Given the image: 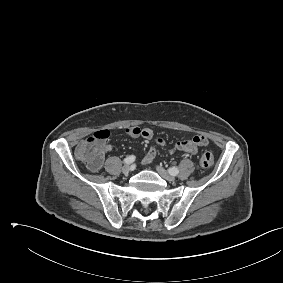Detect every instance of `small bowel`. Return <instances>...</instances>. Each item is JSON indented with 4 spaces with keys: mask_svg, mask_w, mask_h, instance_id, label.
Masks as SVG:
<instances>
[{
    "mask_svg": "<svg viewBox=\"0 0 283 283\" xmlns=\"http://www.w3.org/2000/svg\"><path fill=\"white\" fill-rule=\"evenodd\" d=\"M126 134L130 137H143L146 139H151L153 137V131L150 128H139L136 126L128 127L126 129ZM158 144H162L161 139H157ZM208 145V139L202 135H196L194 137L183 139L177 142L170 151L180 150L187 152L189 154H195L200 147H205ZM112 149L111 145L104 144L102 147L103 154L109 152ZM156 156V149L154 147L150 148L143 158V164H150Z\"/></svg>",
    "mask_w": 283,
    "mask_h": 283,
    "instance_id": "obj_1",
    "label": "small bowel"
}]
</instances>
